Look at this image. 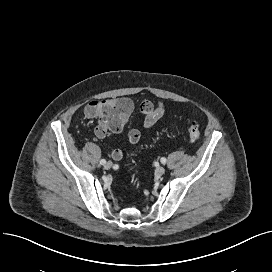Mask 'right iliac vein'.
I'll use <instances>...</instances> for the list:
<instances>
[{"label": "right iliac vein", "mask_w": 272, "mask_h": 272, "mask_svg": "<svg viewBox=\"0 0 272 272\" xmlns=\"http://www.w3.org/2000/svg\"><path fill=\"white\" fill-rule=\"evenodd\" d=\"M111 167H112V163H111V162H106V163L104 164V169H105V170H109V169H111Z\"/></svg>", "instance_id": "1"}]
</instances>
